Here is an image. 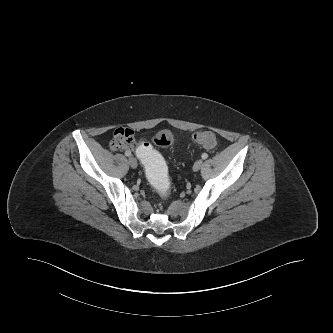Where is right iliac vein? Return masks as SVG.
I'll return each mask as SVG.
<instances>
[{
  "label": "right iliac vein",
  "instance_id": "63e3f726",
  "mask_svg": "<svg viewBox=\"0 0 333 333\" xmlns=\"http://www.w3.org/2000/svg\"><path fill=\"white\" fill-rule=\"evenodd\" d=\"M128 163L133 169L137 168L138 162H137L136 158L130 157L128 159Z\"/></svg>",
  "mask_w": 333,
  "mask_h": 333
}]
</instances>
